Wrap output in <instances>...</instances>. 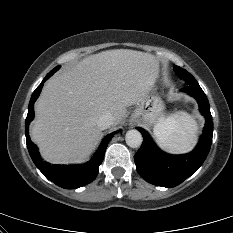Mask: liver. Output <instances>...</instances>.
<instances>
[{
  "mask_svg": "<svg viewBox=\"0 0 233 233\" xmlns=\"http://www.w3.org/2000/svg\"><path fill=\"white\" fill-rule=\"evenodd\" d=\"M159 64L154 55L116 49L90 55L51 77L35 104L31 138L54 164L82 162L101 136L97 120L106 112L115 125L126 108L154 89Z\"/></svg>",
  "mask_w": 233,
  "mask_h": 233,
  "instance_id": "obj_1",
  "label": "liver"
}]
</instances>
